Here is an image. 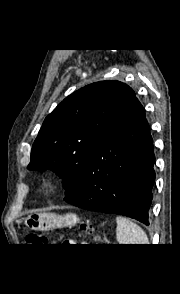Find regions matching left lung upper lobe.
<instances>
[{
    "mask_svg": "<svg viewBox=\"0 0 180 294\" xmlns=\"http://www.w3.org/2000/svg\"><path fill=\"white\" fill-rule=\"evenodd\" d=\"M135 99L120 81L95 82L72 93L45 118L27 168L51 169L66 197L74 194L97 148Z\"/></svg>",
    "mask_w": 180,
    "mask_h": 294,
    "instance_id": "5c2ea615",
    "label": "left lung upper lobe"
}]
</instances>
